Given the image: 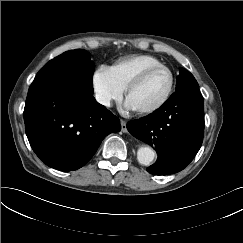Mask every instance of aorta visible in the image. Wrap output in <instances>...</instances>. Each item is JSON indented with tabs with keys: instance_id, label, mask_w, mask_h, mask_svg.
Segmentation results:
<instances>
[{
	"instance_id": "1",
	"label": "aorta",
	"mask_w": 243,
	"mask_h": 243,
	"mask_svg": "<svg viewBox=\"0 0 243 243\" xmlns=\"http://www.w3.org/2000/svg\"><path fill=\"white\" fill-rule=\"evenodd\" d=\"M154 158L155 152L150 147H140L137 151V160L142 165H150Z\"/></svg>"
}]
</instances>
